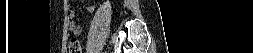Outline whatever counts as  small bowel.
<instances>
[{
	"instance_id": "1",
	"label": "small bowel",
	"mask_w": 253,
	"mask_h": 53,
	"mask_svg": "<svg viewBox=\"0 0 253 53\" xmlns=\"http://www.w3.org/2000/svg\"><path fill=\"white\" fill-rule=\"evenodd\" d=\"M87 10L89 12H92L94 10V8L93 7H87ZM70 17H71V19H73V17H74V11L73 10L70 11ZM69 29L74 35H78V34L81 33V27L79 25H77L73 20H71L69 22Z\"/></svg>"
}]
</instances>
